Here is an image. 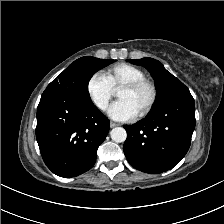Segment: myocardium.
<instances>
[{"instance_id":"1","label":"myocardium","mask_w":224,"mask_h":224,"mask_svg":"<svg viewBox=\"0 0 224 224\" xmlns=\"http://www.w3.org/2000/svg\"><path fill=\"white\" fill-rule=\"evenodd\" d=\"M141 88H146L149 91V98L144 107L139 111L138 116H146L156 104L158 98V89L156 85L147 79H140L132 82H128L120 87V89H125L129 91H136Z\"/></svg>"}]
</instances>
